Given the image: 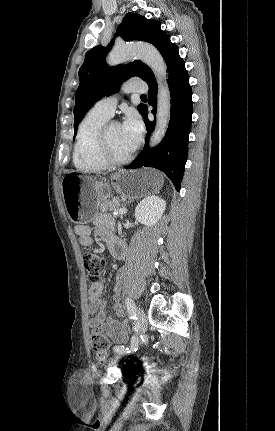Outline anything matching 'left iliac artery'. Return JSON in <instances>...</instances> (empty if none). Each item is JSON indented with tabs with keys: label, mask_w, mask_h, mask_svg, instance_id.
Listing matches in <instances>:
<instances>
[{
	"label": "left iliac artery",
	"mask_w": 275,
	"mask_h": 431,
	"mask_svg": "<svg viewBox=\"0 0 275 431\" xmlns=\"http://www.w3.org/2000/svg\"><path fill=\"white\" fill-rule=\"evenodd\" d=\"M125 304H126L127 311L129 313L130 318L136 319V307H135L134 301L131 298L126 297ZM137 349H138V338L135 336H133L131 338V343H130L129 347H125L122 345L114 347V351L118 354H121V355L129 354V353L134 352V351L136 352Z\"/></svg>",
	"instance_id": "44dca946"
}]
</instances>
